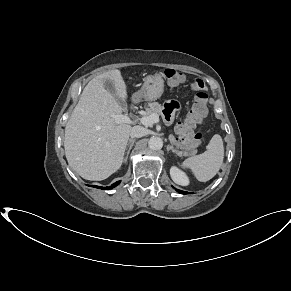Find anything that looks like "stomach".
Listing matches in <instances>:
<instances>
[{
	"label": "stomach",
	"mask_w": 291,
	"mask_h": 291,
	"mask_svg": "<svg viewBox=\"0 0 291 291\" xmlns=\"http://www.w3.org/2000/svg\"><path fill=\"white\" fill-rule=\"evenodd\" d=\"M163 92L164 79L162 75L155 74L146 78L141 89L134 94L133 98L135 100H140L141 98H143L147 101H153L160 98Z\"/></svg>",
	"instance_id": "obj_1"
}]
</instances>
